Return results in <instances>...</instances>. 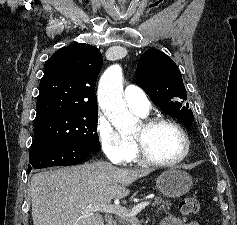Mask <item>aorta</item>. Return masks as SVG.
I'll return each mask as SVG.
<instances>
[{"instance_id": "762f6f07", "label": "aorta", "mask_w": 237, "mask_h": 225, "mask_svg": "<svg viewBox=\"0 0 237 225\" xmlns=\"http://www.w3.org/2000/svg\"><path fill=\"white\" fill-rule=\"evenodd\" d=\"M122 81L121 66H110L100 78L97 95L105 116L119 133L126 134L136 129L139 119L127 109L123 100Z\"/></svg>"}]
</instances>
